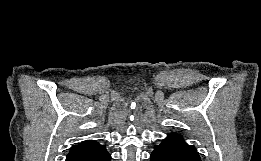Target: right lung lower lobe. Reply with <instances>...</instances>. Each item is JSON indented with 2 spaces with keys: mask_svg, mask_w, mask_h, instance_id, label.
I'll return each instance as SVG.
<instances>
[{
  "mask_svg": "<svg viewBox=\"0 0 261 161\" xmlns=\"http://www.w3.org/2000/svg\"><path fill=\"white\" fill-rule=\"evenodd\" d=\"M111 156L105 145H94L79 150H71L65 161H110Z\"/></svg>",
  "mask_w": 261,
  "mask_h": 161,
  "instance_id": "98d812e1",
  "label": "right lung lower lobe"
}]
</instances>
